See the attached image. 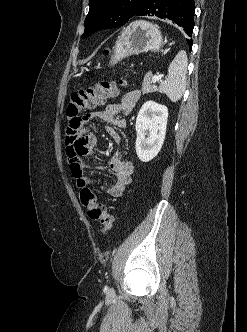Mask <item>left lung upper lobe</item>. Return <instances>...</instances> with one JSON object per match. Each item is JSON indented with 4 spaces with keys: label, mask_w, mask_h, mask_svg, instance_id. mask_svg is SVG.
Returning a JSON list of instances; mask_svg holds the SVG:
<instances>
[{
    "label": "left lung upper lobe",
    "mask_w": 247,
    "mask_h": 332,
    "mask_svg": "<svg viewBox=\"0 0 247 332\" xmlns=\"http://www.w3.org/2000/svg\"><path fill=\"white\" fill-rule=\"evenodd\" d=\"M146 0H90L82 38L102 29L125 25Z\"/></svg>",
    "instance_id": "1"
}]
</instances>
